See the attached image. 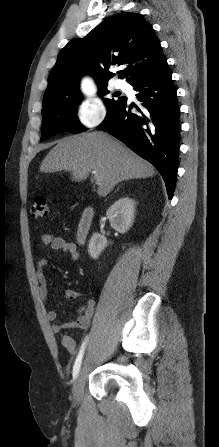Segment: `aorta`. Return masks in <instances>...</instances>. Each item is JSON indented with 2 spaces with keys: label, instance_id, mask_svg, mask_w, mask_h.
Returning a JSON list of instances; mask_svg holds the SVG:
<instances>
[{
  "label": "aorta",
  "instance_id": "obj_1",
  "mask_svg": "<svg viewBox=\"0 0 219 447\" xmlns=\"http://www.w3.org/2000/svg\"><path fill=\"white\" fill-rule=\"evenodd\" d=\"M82 90L87 97L91 98L93 96L92 85L87 80L83 83Z\"/></svg>",
  "mask_w": 219,
  "mask_h": 447
}]
</instances>
